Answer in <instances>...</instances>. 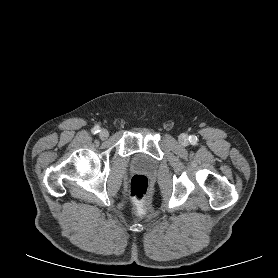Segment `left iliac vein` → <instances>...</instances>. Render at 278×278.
Segmentation results:
<instances>
[{
	"instance_id": "obj_1",
	"label": "left iliac vein",
	"mask_w": 278,
	"mask_h": 278,
	"mask_svg": "<svg viewBox=\"0 0 278 278\" xmlns=\"http://www.w3.org/2000/svg\"><path fill=\"white\" fill-rule=\"evenodd\" d=\"M180 142H181L182 144H187V137H186L185 135H181V136H180Z\"/></svg>"
}]
</instances>
